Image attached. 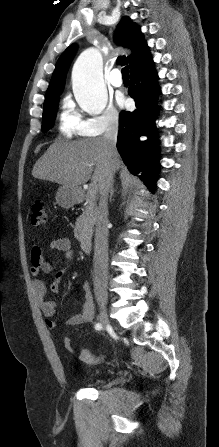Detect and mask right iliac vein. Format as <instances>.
<instances>
[{"label":"right iliac vein","mask_w":219,"mask_h":447,"mask_svg":"<svg viewBox=\"0 0 219 447\" xmlns=\"http://www.w3.org/2000/svg\"><path fill=\"white\" fill-rule=\"evenodd\" d=\"M99 321H100V323H101L103 328H105V327H107L109 325L110 321L108 319V316H107V313H106L105 309H102V311L100 313V316H99Z\"/></svg>","instance_id":"obj_1"}]
</instances>
